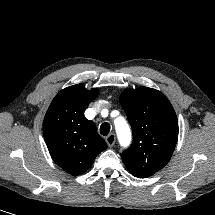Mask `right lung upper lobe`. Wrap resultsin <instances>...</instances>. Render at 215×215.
Segmentation results:
<instances>
[{
	"instance_id": "cb5924a9",
	"label": "right lung upper lobe",
	"mask_w": 215,
	"mask_h": 215,
	"mask_svg": "<svg viewBox=\"0 0 215 215\" xmlns=\"http://www.w3.org/2000/svg\"><path fill=\"white\" fill-rule=\"evenodd\" d=\"M98 93L83 84L67 87L55 96L44 117L43 133L50 155L71 175L84 173L107 147L94 123L84 116Z\"/></svg>"
}]
</instances>
